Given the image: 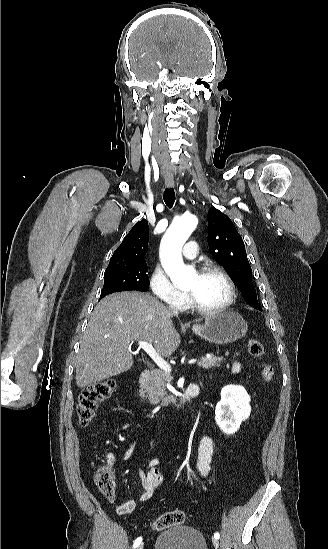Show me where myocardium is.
<instances>
[{
  "instance_id": "f54148a6",
  "label": "myocardium",
  "mask_w": 328,
  "mask_h": 549,
  "mask_svg": "<svg viewBox=\"0 0 328 549\" xmlns=\"http://www.w3.org/2000/svg\"><path fill=\"white\" fill-rule=\"evenodd\" d=\"M186 267L195 269L197 274H204L211 271H216L220 273L228 284V297L227 299L219 306L215 308H204L198 303L188 292L184 291L186 299L188 301V306L198 313L201 316H216L228 311L233 305L236 296H237V286L231 276L227 271L226 267L215 261L205 260L199 262H193L186 264Z\"/></svg>"
}]
</instances>
